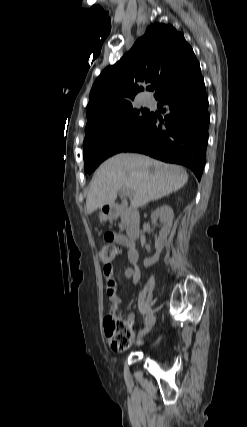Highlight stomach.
Wrapping results in <instances>:
<instances>
[{"instance_id":"stomach-1","label":"stomach","mask_w":247,"mask_h":427,"mask_svg":"<svg viewBox=\"0 0 247 427\" xmlns=\"http://www.w3.org/2000/svg\"><path fill=\"white\" fill-rule=\"evenodd\" d=\"M108 218H110V215H108L104 212L100 213V220H107Z\"/></svg>"}]
</instances>
